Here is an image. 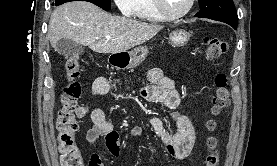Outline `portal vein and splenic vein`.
Here are the masks:
<instances>
[{
    "mask_svg": "<svg viewBox=\"0 0 277 166\" xmlns=\"http://www.w3.org/2000/svg\"><path fill=\"white\" fill-rule=\"evenodd\" d=\"M107 39H110L111 37L110 36H106Z\"/></svg>",
    "mask_w": 277,
    "mask_h": 166,
    "instance_id": "1",
    "label": "portal vein and splenic vein"
}]
</instances>
